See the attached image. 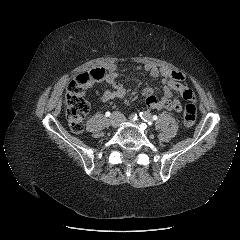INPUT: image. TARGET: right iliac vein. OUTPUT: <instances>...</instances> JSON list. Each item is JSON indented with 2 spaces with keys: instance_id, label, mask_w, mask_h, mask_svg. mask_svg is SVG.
I'll return each mask as SVG.
<instances>
[{
  "instance_id": "1",
  "label": "right iliac vein",
  "mask_w": 240,
  "mask_h": 240,
  "mask_svg": "<svg viewBox=\"0 0 240 240\" xmlns=\"http://www.w3.org/2000/svg\"><path fill=\"white\" fill-rule=\"evenodd\" d=\"M110 122L113 127H116L119 124V119L116 116H112Z\"/></svg>"
}]
</instances>
